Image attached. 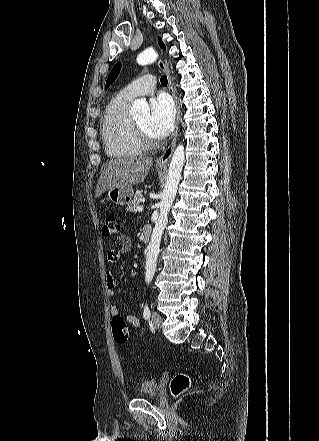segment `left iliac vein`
Wrapping results in <instances>:
<instances>
[{
	"label": "left iliac vein",
	"instance_id": "obj_1",
	"mask_svg": "<svg viewBox=\"0 0 319 441\" xmlns=\"http://www.w3.org/2000/svg\"><path fill=\"white\" fill-rule=\"evenodd\" d=\"M151 321L155 329L161 328L162 318L157 312L152 313Z\"/></svg>",
	"mask_w": 319,
	"mask_h": 441
}]
</instances>
